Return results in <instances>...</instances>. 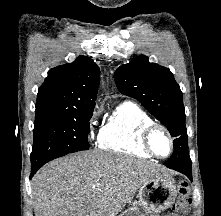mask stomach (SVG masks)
Wrapping results in <instances>:
<instances>
[{
    "label": "stomach",
    "instance_id": "1",
    "mask_svg": "<svg viewBox=\"0 0 221 216\" xmlns=\"http://www.w3.org/2000/svg\"><path fill=\"white\" fill-rule=\"evenodd\" d=\"M138 197L142 211L128 210L120 216H158L175 202L177 187L170 175L153 177L140 186Z\"/></svg>",
    "mask_w": 221,
    "mask_h": 216
}]
</instances>
